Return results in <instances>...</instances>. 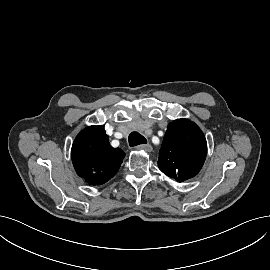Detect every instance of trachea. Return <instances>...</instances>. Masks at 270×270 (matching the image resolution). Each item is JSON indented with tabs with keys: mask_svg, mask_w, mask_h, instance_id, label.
I'll list each match as a JSON object with an SVG mask.
<instances>
[{
	"mask_svg": "<svg viewBox=\"0 0 270 270\" xmlns=\"http://www.w3.org/2000/svg\"><path fill=\"white\" fill-rule=\"evenodd\" d=\"M146 143H147L146 138L144 136H142L138 132H132L129 135V145L131 147L137 146V145H140V144H146Z\"/></svg>",
	"mask_w": 270,
	"mask_h": 270,
	"instance_id": "trachea-1",
	"label": "trachea"
}]
</instances>
